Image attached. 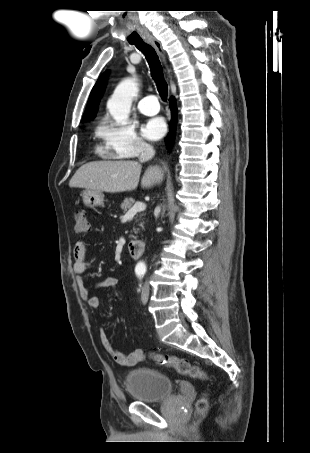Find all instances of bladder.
<instances>
[{
  "mask_svg": "<svg viewBox=\"0 0 310 453\" xmlns=\"http://www.w3.org/2000/svg\"><path fill=\"white\" fill-rule=\"evenodd\" d=\"M125 388L138 402L156 403L173 394V385L168 376L149 368L130 371L125 379Z\"/></svg>",
  "mask_w": 310,
  "mask_h": 453,
  "instance_id": "1",
  "label": "bladder"
}]
</instances>
